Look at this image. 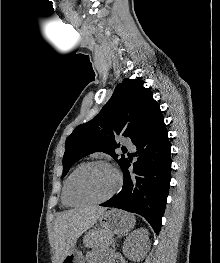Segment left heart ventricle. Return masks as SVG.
Segmentation results:
<instances>
[{
  "label": "left heart ventricle",
  "mask_w": 220,
  "mask_h": 263,
  "mask_svg": "<svg viewBox=\"0 0 220 263\" xmlns=\"http://www.w3.org/2000/svg\"><path fill=\"white\" fill-rule=\"evenodd\" d=\"M116 184L115 173L107 166L94 165L79 172L71 185L77 201L95 200L107 195Z\"/></svg>",
  "instance_id": "left-heart-ventricle-1"
}]
</instances>
